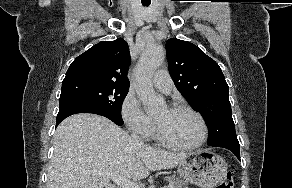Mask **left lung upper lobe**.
<instances>
[{
  "mask_svg": "<svg viewBox=\"0 0 292 188\" xmlns=\"http://www.w3.org/2000/svg\"><path fill=\"white\" fill-rule=\"evenodd\" d=\"M166 50L176 88L207 123L208 145L236 135L229 89L219 65L187 41L171 38Z\"/></svg>",
  "mask_w": 292,
  "mask_h": 188,
  "instance_id": "obj_1",
  "label": "left lung upper lobe"
}]
</instances>
